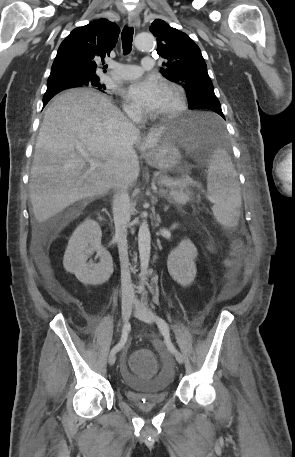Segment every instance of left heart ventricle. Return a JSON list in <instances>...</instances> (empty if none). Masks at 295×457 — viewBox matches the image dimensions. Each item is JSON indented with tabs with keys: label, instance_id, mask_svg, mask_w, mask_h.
<instances>
[{
	"label": "left heart ventricle",
	"instance_id": "obj_1",
	"mask_svg": "<svg viewBox=\"0 0 295 457\" xmlns=\"http://www.w3.org/2000/svg\"><path fill=\"white\" fill-rule=\"evenodd\" d=\"M174 104H175V96H174V94L170 90H168V89L163 87L161 100L159 102L158 107L153 112L154 113H161V112L167 111L171 107H173Z\"/></svg>",
	"mask_w": 295,
	"mask_h": 457
}]
</instances>
